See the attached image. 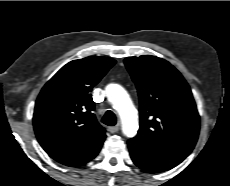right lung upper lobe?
I'll list each match as a JSON object with an SVG mask.
<instances>
[{"mask_svg": "<svg viewBox=\"0 0 230 186\" xmlns=\"http://www.w3.org/2000/svg\"><path fill=\"white\" fill-rule=\"evenodd\" d=\"M115 60L92 56L63 66L43 87L33 125L47 154L61 164L79 166L93 159L106 138L92 113V88Z\"/></svg>", "mask_w": 230, "mask_h": 186, "instance_id": "1", "label": "right lung upper lobe"}]
</instances>
